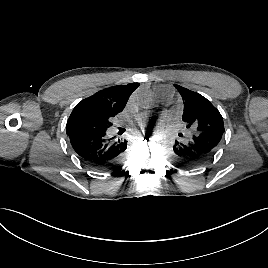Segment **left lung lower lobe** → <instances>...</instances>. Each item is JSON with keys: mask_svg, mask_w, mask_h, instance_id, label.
Listing matches in <instances>:
<instances>
[{"mask_svg": "<svg viewBox=\"0 0 268 268\" xmlns=\"http://www.w3.org/2000/svg\"><path fill=\"white\" fill-rule=\"evenodd\" d=\"M223 132L205 131L193 133L189 141H175L169 155L180 167L194 168L210 160L216 153Z\"/></svg>", "mask_w": 268, "mask_h": 268, "instance_id": "left-lung-lower-lobe-1", "label": "left lung lower lobe"}]
</instances>
